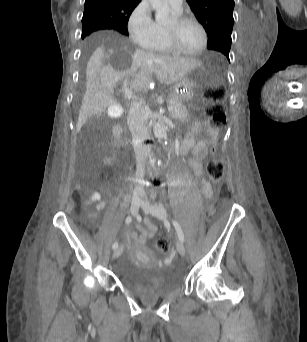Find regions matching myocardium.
Instances as JSON below:
<instances>
[{
    "label": "myocardium",
    "mask_w": 307,
    "mask_h": 342,
    "mask_svg": "<svg viewBox=\"0 0 307 342\" xmlns=\"http://www.w3.org/2000/svg\"><path fill=\"white\" fill-rule=\"evenodd\" d=\"M189 21L197 23L203 32V36H204L203 44L198 50H196L194 52L184 51L175 43L172 36L167 32H164V34H163V43H164L165 47L167 48V50L172 54L179 55V56H185V57H192V58L199 57L207 50V48L209 46V30H208V27L205 24V22L202 19H200L199 17H197L196 15L185 14V15H180V16L175 18V24L176 25H182V24L189 22Z\"/></svg>",
    "instance_id": "f54148a6"
}]
</instances>
